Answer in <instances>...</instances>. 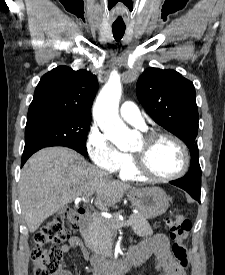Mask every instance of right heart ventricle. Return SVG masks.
Instances as JSON below:
<instances>
[{"label": "right heart ventricle", "instance_id": "1", "mask_svg": "<svg viewBox=\"0 0 225 275\" xmlns=\"http://www.w3.org/2000/svg\"><path fill=\"white\" fill-rule=\"evenodd\" d=\"M133 157L126 154L124 165L118 170V174L125 180H141L142 177L135 171L133 166Z\"/></svg>", "mask_w": 225, "mask_h": 275}]
</instances>
